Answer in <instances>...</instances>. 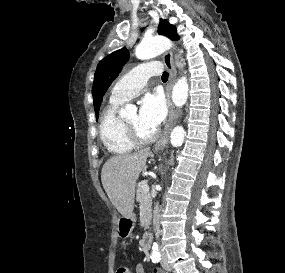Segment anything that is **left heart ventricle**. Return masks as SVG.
Instances as JSON below:
<instances>
[{"instance_id":"b2bd125f","label":"left heart ventricle","mask_w":285,"mask_h":273,"mask_svg":"<svg viewBox=\"0 0 285 273\" xmlns=\"http://www.w3.org/2000/svg\"><path fill=\"white\" fill-rule=\"evenodd\" d=\"M125 121L132 127L136 128L139 133L143 136H150L152 135L155 130L149 127L142 125L139 121V116L137 113H133L129 115Z\"/></svg>"}]
</instances>
